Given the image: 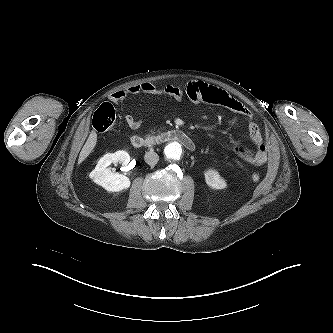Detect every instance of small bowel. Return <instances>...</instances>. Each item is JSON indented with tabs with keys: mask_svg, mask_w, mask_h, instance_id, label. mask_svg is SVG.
<instances>
[{
	"mask_svg": "<svg viewBox=\"0 0 333 333\" xmlns=\"http://www.w3.org/2000/svg\"><path fill=\"white\" fill-rule=\"evenodd\" d=\"M147 94L158 96L162 99H174L176 101L189 100L193 103H210L222 106L237 115L247 119L249 137L256 146L255 151L243 147H237L235 153L253 166H261L268 160V150L264 144L260 128L255 120L254 114L243 103L231 97L227 92L203 82L190 81L185 88L177 86H157L152 83H141L119 90L110 96V99L120 108L131 96ZM124 120L131 130H137L142 121L131 114H126Z\"/></svg>",
	"mask_w": 333,
	"mask_h": 333,
	"instance_id": "c3829d8e",
	"label": "small bowel"
}]
</instances>
